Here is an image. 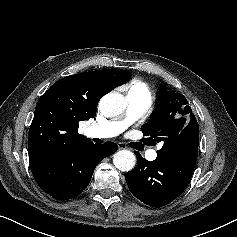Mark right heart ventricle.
Listing matches in <instances>:
<instances>
[{"instance_id": "1", "label": "right heart ventricle", "mask_w": 237, "mask_h": 237, "mask_svg": "<svg viewBox=\"0 0 237 237\" xmlns=\"http://www.w3.org/2000/svg\"><path fill=\"white\" fill-rule=\"evenodd\" d=\"M129 92L136 94H146L150 95V89L148 85L141 81H135L132 83Z\"/></svg>"}]
</instances>
